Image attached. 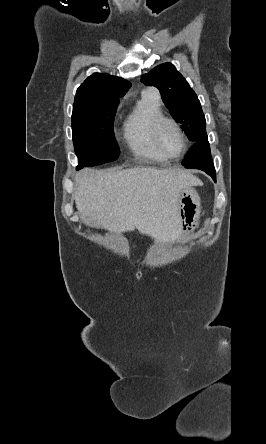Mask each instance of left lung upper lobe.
I'll return each instance as SVG.
<instances>
[{
  "mask_svg": "<svg viewBox=\"0 0 266 444\" xmlns=\"http://www.w3.org/2000/svg\"><path fill=\"white\" fill-rule=\"evenodd\" d=\"M141 82L157 87L173 118L191 141L207 138L206 121L200 102L186 79L171 63L161 64L141 76Z\"/></svg>",
  "mask_w": 266,
  "mask_h": 444,
  "instance_id": "left-lung-upper-lobe-1",
  "label": "left lung upper lobe"
}]
</instances>
